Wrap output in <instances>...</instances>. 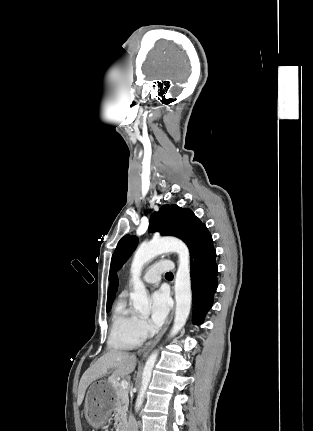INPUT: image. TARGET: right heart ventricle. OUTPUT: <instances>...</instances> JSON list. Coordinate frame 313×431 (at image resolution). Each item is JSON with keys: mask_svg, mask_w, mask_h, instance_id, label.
Here are the masks:
<instances>
[{"mask_svg": "<svg viewBox=\"0 0 313 431\" xmlns=\"http://www.w3.org/2000/svg\"><path fill=\"white\" fill-rule=\"evenodd\" d=\"M137 314L125 300L118 301L112 317L109 346L112 349L128 350L139 346L143 340L136 331Z\"/></svg>", "mask_w": 313, "mask_h": 431, "instance_id": "right-heart-ventricle-1", "label": "right heart ventricle"}]
</instances>
